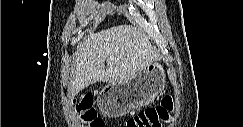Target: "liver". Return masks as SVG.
Returning <instances> with one entry per match:
<instances>
[{
    "instance_id": "liver-1",
    "label": "liver",
    "mask_w": 243,
    "mask_h": 127,
    "mask_svg": "<svg viewBox=\"0 0 243 127\" xmlns=\"http://www.w3.org/2000/svg\"><path fill=\"white\" fill-rule=\"evenodd\" d=\"M158 59L148 37L136 27L118 25L93 33L78 47L70 97L99 81L116 83L133 78Z\"/></svg>"
}]
</instances>
